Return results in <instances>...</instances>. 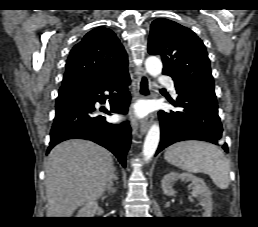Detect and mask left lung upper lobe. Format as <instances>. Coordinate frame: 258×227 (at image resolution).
Returning a JSON list of instances; mask_svg holds the SVG:
<instances>
[{"label":"left lung upper lobe","instance_id":"obj_1","mask_svg":"<svg viewBox=\"0 0 258 227\" xmlns=\"http://www.w3.org/2000/svg\"><path fill=\"white\" fill-rule=\"evenodd\" d=\"M151 55H161L163 74L175 84L214 90L208 54L203 42L190 29L168 19L151 24L148 42Z\"/></svg>","mask_w":258,"mask_h":227}]
</instances>
